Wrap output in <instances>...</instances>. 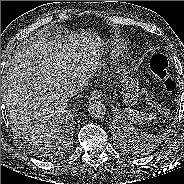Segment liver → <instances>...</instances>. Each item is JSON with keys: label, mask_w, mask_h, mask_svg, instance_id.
I'll return each mask as SVG.
<instances>
[{"label": "liver", "mask_w": 184, "mask_h": 184, "mask_svg": "<svg viewBox=\"0 0 184 184\" xmlns=\"http://www.w3.org/2000/svg\"><path fill=\"white\" fill-rule=\"evenodd\" d=\"M103 44L93 32L71 35L63 45L45 35L24 42L6 63L2 88L9 116L36 145L56 139L71 79L97 69Z\"/></svg>", "instance_id": "1"}]
</instances>
